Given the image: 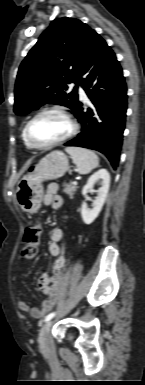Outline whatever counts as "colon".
Returning <instances> with one entry per match:
<instances>
[{
	"instance_id": "1",
	"label": "colon",
	"mask_w": 145,
	"mask_h": 385,
	"mask_svg": "<svg viewBox=\"0 0 145 385\" xmlns=\"http://www.w3.org/2000/svg\"><path fill=\"white\" fill-rule=\"evenodd\" d=\"M41 233V224L37 223L35 225L29 226L26 228L23 236V247L20 252V258L23 261H32L38 251V245L40 241ZM64 262L62 260L57 261L53 265V272L60 274L63 272Z\"/></svg>"
}]
</instances>
